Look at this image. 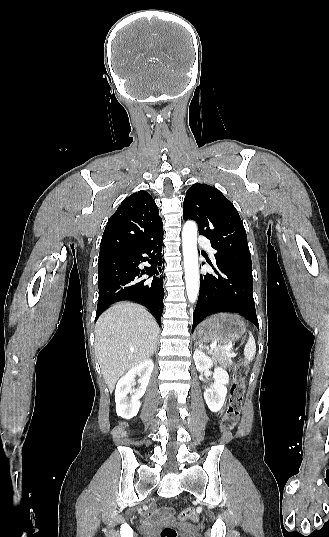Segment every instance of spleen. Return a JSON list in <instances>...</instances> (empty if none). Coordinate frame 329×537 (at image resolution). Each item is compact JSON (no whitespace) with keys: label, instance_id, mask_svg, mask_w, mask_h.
<instances>
[{"label":"spleen","instance_id":"obj_1","mask_svg":"<svg viewBox=\"0 0 329 537\" xmlns=\"http://www.w3.org/2000/svg\"><path fill=\"white\" fill-rule=\"evenodd\" d=\"M256 353L255 339L251 333H249V339L244 348V355L247 361H251Z\"/></svg>","mask_w":329,"mask_h":537}]
</instances>
